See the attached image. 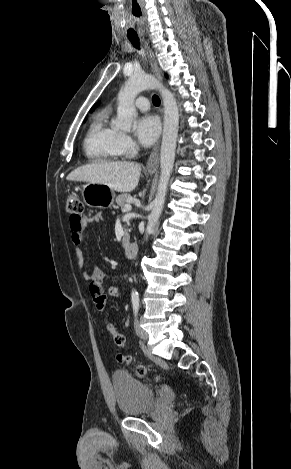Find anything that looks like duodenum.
<instances>
[{"label":"duodenum","instance_id":"1","mask_svg":"<svg viewBox=\"0 0 291 469\" xmlns=\"http://www.w3.org/2000/svg\"><path fill=\"white\" fill-rule=\"evenodd\" d=\"M125 256L129 259L134 258L138 252V246L135 243H128L124 246Z\"/></svg>","mask_w":291,"mask_h":469}]
</instances>
